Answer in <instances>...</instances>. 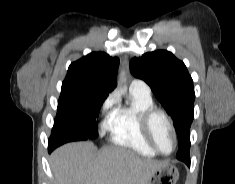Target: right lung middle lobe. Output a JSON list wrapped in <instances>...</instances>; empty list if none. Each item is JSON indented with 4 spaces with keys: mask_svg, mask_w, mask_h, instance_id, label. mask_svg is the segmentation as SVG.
<instances>
[{
    "mask_svg": "<svg viewBox=\"0 0 235 184\" xmlns=\"http://www.w3.org/2000/svg\"><path fill=\"white\" fill-rule=\"evenodd\" d=\"M98 94L99 91L95 89L61 91L56 120L59 123H65L70 130H61L55 134L52 140L55 148L71 141L97 138L96 116L102 103L93 102V100Z\"/></svg>",
    "mask_w": 235,
    "mask_h": 184,
    "instance_id": "1",
    "label": "right lung middle lobe"
}]
</instances>
